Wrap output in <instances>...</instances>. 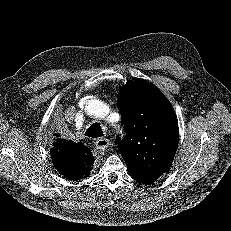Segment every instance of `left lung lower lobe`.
Wrapping results in <instances>:
<instances>
[{
  "instance_id": "left-lung-lower-lobe-1",
  "label": "left lung lower lobe",
  "mask_w": 231,
  "mask_h": 231,
  "mask_svg": "<svg viewBox=\"0 0 231 231\" xmlns=\"http://www.w3.org/2000/svg\"><path fill=\"white\" fill-rule=\"evenodd\" d=\"M130 175L134 180L142 184H152L153 182H155L157 178L161 176L155 174H131V173Z\"/></svg>"
}]
</instances>
